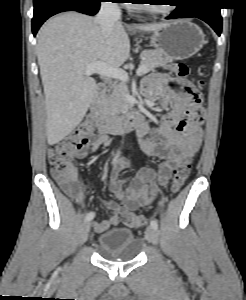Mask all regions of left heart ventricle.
I'll list each match as a JSON object with an SVG mask.
<instances>
[{
	"label": "left heart ventricle",
	"instance_id": "1",
	"mask_svg": "<svg viewBox=\"0 0 246 300\" xmlns=\"http://www.w3.org/2000/svg\"><path fill=\"white\" fill-rule=\"evenodd\" d=\"M161 3H167L168 1H160ZM151 7L152 8H154V9H159V10H161V9H166V8H168V6L167 5H151Z\"/></svg>",
	"mask_w": 246,
	"mask_h": 300
}]
</instances>
